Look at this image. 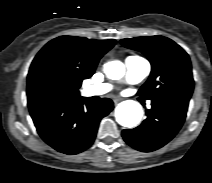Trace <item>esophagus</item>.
Returning a JSON list of instances; mask_svg holds the SVG:
<instances>
[{
    "instance_id": "esophagus-1",
    "label": "esophagus",
    "mask_w": 212,
    "mask_h": 183,
    "mask_svg": "<svg viewBox=\"0 0 212 183\" xmlns=\"http://www.w3.org/2000/svg\"><path fill=\"white\" fill-rule=\"evenodd\" d=\"M119 102V99H114V103L117 104Z\"/></svg>"
}]
</instances>
